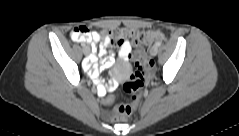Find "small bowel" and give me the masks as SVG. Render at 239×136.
I'll return each instance as SVG.
<instances>
[{"label":"small bowel","instance_id":"c3829d8e","mask_svg":"<svg viewBox=\"0 0 239 136\" xmlns=\"http://www.w3.org/2000/svg\"><path fill=\"white\" fill-rule=\"evenodd\" d=\"M131 31H125L124 32V37L126 38L123 40V43L119 45V50H118V58L125 62V63H130V55H131V50L132 46L131 43L129 42L128 38H131L130 35ZM71 38L72 37V32H71ZM76 42L79 43H92L93 46V51L98 54L99 56L103 57L101 61L98 63V57L97 55L93 54L91 55L88 60L85 62L86 68L89 70L90 75L92 78L96 79L99 76L100 71L106 70L110 68L113 63H114V56L113 55H107V51L110 47H113L109 44V40L107 37H102L100 36L97 32H91L90 37L88 39H82V40H75ZM99 46H96V43L100 42ZM117 80L113 79L111 82L104 84V83H99L98 84V90L101 94L107 93V92H112L117 88ZM113 102V96L112 95H107L104 98V104L109 106Z\"/></svg>","mask_w":239,"mask_h":136}]
</instances>
